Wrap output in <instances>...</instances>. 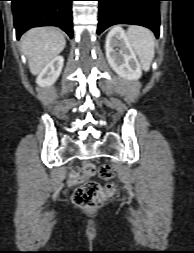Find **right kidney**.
Masks as SVG:
<instances>
[{
	"label": "right kidney",
	"mask_w": 194,
	"mask_h": 253,
	"mask_svg": "<svg viewBox=\"0 0 194 253\" xmlns=\"http://www.w3.org/2000/svg\"><path fill=\"white\" fill-rule=\"evenodd\" d=\"M64 63L62 56L55 57L45 68L39 73L36 83L41 87L52 85L59 77Z\"/></svg>",
	"instance_id": "obj_1"
}]
</instances>
